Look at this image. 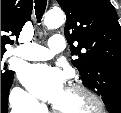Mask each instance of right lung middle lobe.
<instances>
[{
    "label": "right lung middle lobe",
    "instance_id": "dd1d6c3e",
    "mask_svg": "<svg viewBox=\"0 0 121 113\" xmlns=\"http://www.w3.org/2000/svg\"><path fill=\"white\" fill-rule=\"evenodd\" d=\"M4 52H1V80H8L14 76L13 71H7V65L2 63V57Z\"/></svg>",
    "mask_w": 121,
    "mask_h": 113
}]
</instances>
